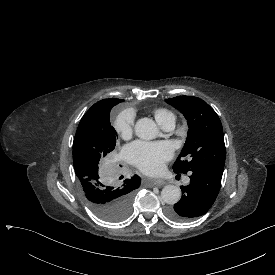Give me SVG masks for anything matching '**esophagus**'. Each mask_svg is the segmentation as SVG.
I'll return each mask as SVG.
<instances>
[{
    "label": "esophagus",
    "mask_w": 275,
    "mask_h": 275,
    "mask_svg": "<svg viewBox=\"0 0 275 275\" xmlns=\"http://www.w3.org/2000/svg\"><path fill=\"white\" fill-rule=\"evenodd\" d=\"M153 183H154V185H156V186H162V185L165 184L164 180H163V179H160V178H158V179H153Z\"/></svg>",
    "instance_id": "obj_1"
}]
</instances>
